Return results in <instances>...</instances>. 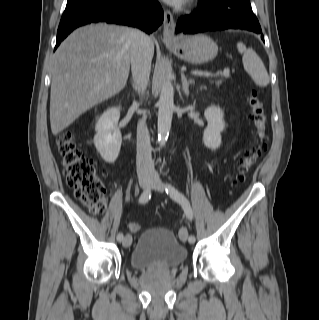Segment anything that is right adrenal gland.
Wrapping results in <instances>:
<instances>
[{
    "instance_id": "obj_1",
    "label": "right adrenal gland",
    "mask_w": 319,
    "mask_h": 320,
    "mask_svg": "<svg viewBox=\"0 0 319 320\" xmlns=\"http://www.w3.org/2000/svg\"><path fill=\"white\" fill-rule=\"evenodd\" d=\"M132 87L135 88V85L132 83Z\"/></svg>"
}]
</instances>
